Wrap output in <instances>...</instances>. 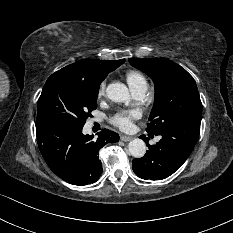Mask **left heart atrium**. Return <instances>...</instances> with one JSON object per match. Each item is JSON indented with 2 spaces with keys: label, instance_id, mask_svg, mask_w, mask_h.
<instances>
[{
  "label": "left heart atrium",
  "instance_id": "1",
  "mask_svg": "<svg viewBox=\"0 0 233 233\" xmlns=\"http://www.w3.org/2000/svg\"><path fill=\"white\" fill-rule=\"evenodd\" d=\"M140 117V111L137 109L122 110L115 113L111 122L123 130H129L133 127V121Z\"/></svg>",
  "mask_w": 233,
  "mask_h": 233
}]
</instances>
